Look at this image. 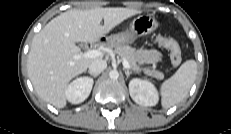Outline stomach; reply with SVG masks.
<instances>
[{"instance_id":"0dacf381","label":"stomach","mask_w":231,"mask_h":134,"mask_svg":"<svg viewBox=\"0 0 231 134\" xmlns=\"http://www.w3.org/2000/svg\"><path fill=\"white\" fill-rule=\"evenodd\" d=\"M159 26V22L151 15L144 14L134 18L130 32H122L107 38V42L115 47L133 43L137 38L145 36Z\"/></svg>"}]
</instances>
